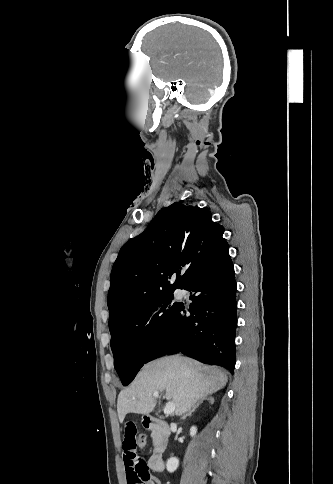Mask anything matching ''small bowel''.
<instances>
[{
  "mask_svg": "<svg viewBox=\"0 0 333 484\" xmlns=\"http://www.w3.org/2000/svg\"><path fill=\"white\" fill-rule=\"evenodd\" d=\"M137 427L134 422L124 425L123 460L127 484H161L149 471L146 461L137 453Z\"/></svg>",
  "mask_w": 333,
  "mask_h": 484,
  "instance_id": "1",
  "label": "small bowel"
}]
</instances>
